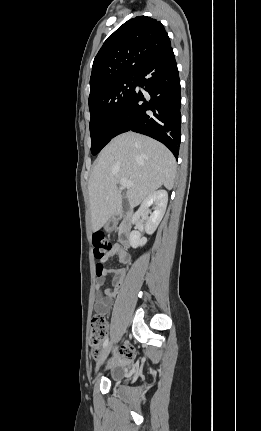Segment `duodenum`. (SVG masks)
Listing matches in <instances>:
<instances>
[{
  "mask_svg": "<svg viewBox=\"0 0 261 431\" xmlns=\"http://www.w3.org/2000/svg\"><path fill=\"white\" fill-rule=\"evenodd\" d=\"M113 221L109 222V225H113ZM130 229H131V213L126 212L123 220L119 227V239L120 243L124 247H128L130 245Z\"/></svg>",
  "mask_w": 261,
  "mask_h": 431,
  "instance_id": "1",
  "label": "duodenum"
}]
</instances>
